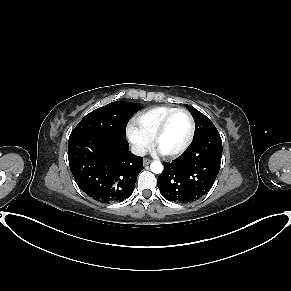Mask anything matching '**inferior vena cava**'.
I'll return each instance as SVG.
<instances>
[{"label":"inferior vena cava","instance_id":"obj_1","mask_svg":"<svg viewBox=\"0 0 291 291\" xmlns=\"http://www.w3.org/2000/svg\"><path fill=\"white\" fill-rule=\"evenodd\" d=\"M131 152L137 156H144L146 154V149L142 145H133L131 147Z\"/></svg>","mask_w":291,"mask_h":291}]
</instances>
